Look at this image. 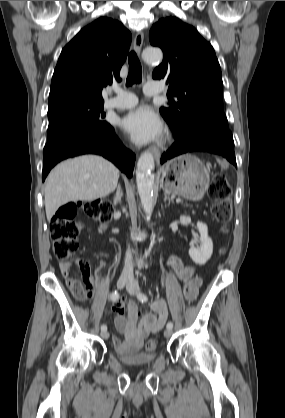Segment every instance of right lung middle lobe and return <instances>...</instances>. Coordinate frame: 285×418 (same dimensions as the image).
<instances>
[{
	"instance_id": "right-lung-middle-lobe-1",
	"label": "right lung middle lobe",
	"mask_w": 285,
	"mask_h": 418,
	"mask_svg": "<svg viewBox=\"0 0 285 418\" xmlns=\"http://www.w3.org/2000/svg\"><path fill=\"white\" fill-rule=\"evenodd\" d=\"M104 102L72 100L48 105L47 142L74 130H103L110 127L103 120Z\"/></svg>"
}]
</instances>
